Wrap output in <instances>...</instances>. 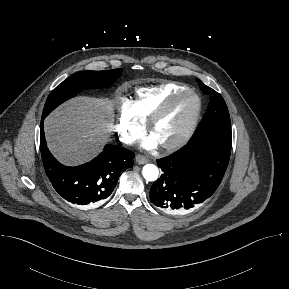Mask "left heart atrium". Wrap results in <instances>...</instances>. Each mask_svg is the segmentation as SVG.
<instances>
[{
	"instance_id": "obj_1",
	"label": "left heart atrium",
	"mask_w": 289,
	"mask_h": 289,
	"mask_svg": "<svg viewBox=\"0 0 289 289\" xmlns=\"http://www.w3.org/2000/svg\"><path fill=\"white\" fill-rule=\"evenodd\" d=\"M158 143L153 139L152 137L148 138V140L145 142L144 146L146 148H153L157 145Z\"/></svg>"
}]
</instances>
